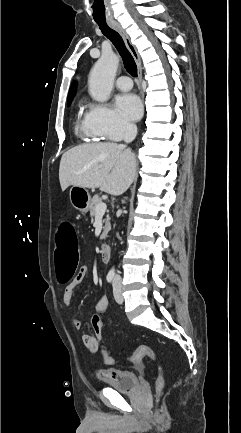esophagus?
Listing matches in <instances>:
<instances>
[{
	"instance_id": "1",
	"label": "esophagus",
	"mask_w": 241,
	"mask_h": 433,
	"mask_svg": "<svg viewBox=\"0 0 241 433\" xmlns=\"http://www.w3.org/2000/svg\"><path fill=\"white\" fill-rule=\"evenodd\" d=\"M109 25L115 29L124 39L125 44L128 48V50L130 51L131 55L133 56L136 64H137V68H138V78L141 81L142 79V66H141V60L139 57V54L137 52L136 47L132 44L127 32L125 31V29L116 21H110L108 22Z\"/></svg>"
}]
</instances>
